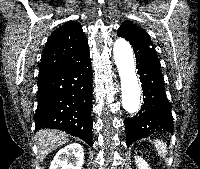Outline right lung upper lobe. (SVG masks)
Segmentation results:
<instances>
[{"instance_id": "obj_1", "label": "right lung upper lobe", "mask_w": 200, "mask_h": 169, "mask_svg": "<svg viewBox=\"0 0 200 169\" xmlns=\"http://www.w3.org/2000/svg\"><path fill=\"white\" fill-rule=\"evenodd\" d=\"M89 51L88 41L78 22L69 21L56 29L48 39L39 75L69 66Z\"/></svg>"}]
</instances>
